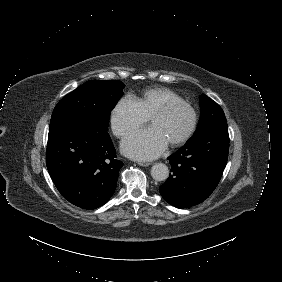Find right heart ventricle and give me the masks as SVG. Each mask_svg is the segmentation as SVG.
Segmentation results:
<instances>
[{
    "instance_id": "1",
    "label": "right heart ventricle",
    "mask_w": 282,
    "mask_h": 282,
    "mask_svg": "<svg viewBox=\"0 0 282 282\" xmlns=\"http://www.w3.org/2000/svg\"><path fill=\"white\" fill-rule=\"evenodd\" d=\"M165 99H171L172 101L181 100L175 93L165 88L149 89L141 96L134 98L137 105L147 118L150 117L152 112L157 110L160 103Z\"/></svg>"
}]
</instances>
